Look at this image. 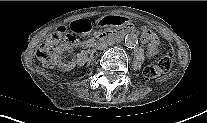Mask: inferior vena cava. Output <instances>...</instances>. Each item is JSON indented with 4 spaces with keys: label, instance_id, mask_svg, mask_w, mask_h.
<instances>
[{
    "label": "inferior vena cava",
    "instance_id": "obj_1",
    "mask_svg": "<svg viewBox=\"0 0 207 123\" xmlns=\"http://www.w3.org/2000/svg\"><path fill=\"white\" fill-rule=\"evenodd\" d=\"M106 48H107V43L102 42L97 45V49L104 50Z\"/></svg>",
    "mask_w": 207,
    "mask_h": 123
}]
</instances>
